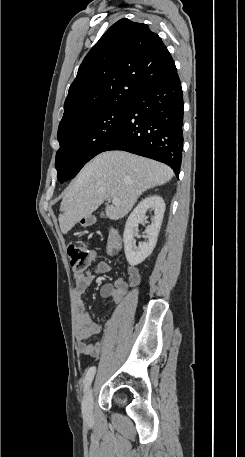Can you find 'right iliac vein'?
<instances>
[{
    "label": "right iliac vein",
    "instance_id": "obj_1",
    "mask_svg": "<svg viewBox=\"0 0 245 457\" xmlns=\"http://www.w3.org/2000/svg\"><path fill=\"white\" fill-rule=\"evenodd\" d=\"M93 388L89 387L87 393L84 396L82 403V413L83 418L86 422H91L93 420Z\"/></svg>",
    "mask_w": 245,
    "mask_h": 457
}]
</instances>
